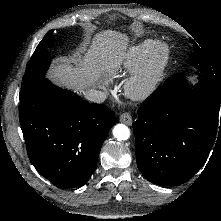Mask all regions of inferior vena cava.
I'll use <instances>...</instances> for the list:
<instances>
[{"mask_svg": "<svg viewBox=\"0 0 221 221\" xmlns=\"http://www.w3.org/2000/svg\"><path fill=\"white\" fill-rule=\"evenodd\" d=\"M84 95L87 100L95 103L104 102L107 98V94L105 92L98 91L96 89H89L84 93Z\"/></svg>", "mask_w": 221, "mask_h": 221, "instance_id": "602c4592", "label": "inferior vena cava"}]
</instances>
